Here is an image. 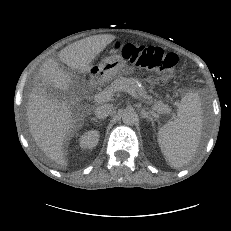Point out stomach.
Instances as JSON below:
<instances>
[{"mask_svg": "<svg viewBox=\"0 0 231 231\" xmlns=\"http://www.w3.org/2000/svg\"><path fill=\"white\" fill-rule=\"evenodd\" d=\"M131 68L127 65L126 60L120 55H112L103 59L98 65L92 66L90 74L93 78L101 81H107L117 75L128 74ZM148 82L155 83L154 78H149Z\"/></svg>", "mask_w": 231, "mask_h": 231, "instance_id": "1", "label": "stomach"}]
</instances>
